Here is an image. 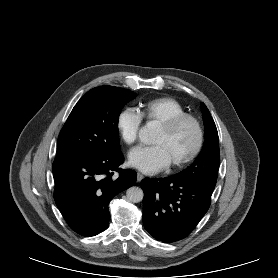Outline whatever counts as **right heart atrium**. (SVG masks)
Returning <instances> with one entry per match:
<instances>
[{"instance_id":"1","label":"right heart atrium","mask_w":278,"mask_h":278,"mask_svg":"<svg viewBox=\"0 0 278 278\" xmlns=\"http://www.w3.org/2000/svg\"><path fill=\"white\" fill-rule=\"evenodd\" d=\"M142 118L134 108L122 109L116 119L117 131L121 139L128 145L133 144L138 137Z\"/></svg>"}]
</instances>
